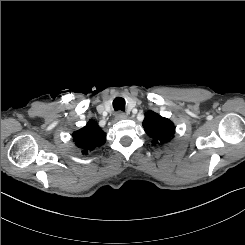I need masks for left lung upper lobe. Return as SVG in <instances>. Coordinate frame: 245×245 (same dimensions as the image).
Returning <instances> with one entry per match:
<instances>
[{"label":"left lung upper lobe","instance_id":"5c2ea615","mask_svg":"<svg viewBox=\"0 0 245 245\" xmlns=\"http://www.w3.org/2000/svg\"><path fill=\"white\" fill-rule=\"evenodd\" d=\"M143 127L147 135L152 138L154 145L168 142L175 133L174 124L153 111L145 114Z\"/></svg>","mask_w":245,"mask_h":245}]
</instances>
